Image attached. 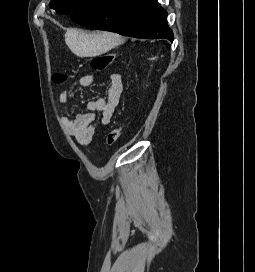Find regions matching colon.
<instances>
[{
	"label": "colon",
	"mask_w": 255,
	"mask_h": 272,
	"mask_svg": "<svg viewBox=\"0 0 255 272\" xmlns=\"http://www.w3.org/2000/svg\"><path fill=\"white\" fill-rule=\"evenodd\" d=\"M115 59V54L114 53H107V54H102L95 56L91 60V69L96 72H101L104 71L105 69L108 68V66L114 61ZM53 81L55 83H65L68 79L69 76L65 73H55L53 74ZM122 127L116 126L114 127L107 135L106 137V145L108 147H112L115 145L117 140L119 139L121 135Z\"/></svg>",
	"instance_id": "1"
}]
</instances>
